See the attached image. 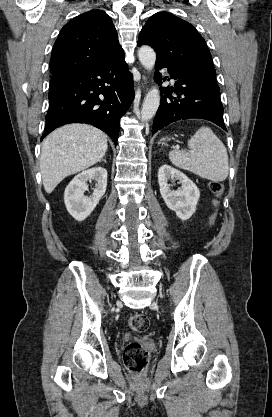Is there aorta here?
I'll return each instance as SVG.
<instances>
[{"instance_id": "1", "label": "aorta", "mask_w": 272, "mask_h": 417, "mask_svg": "<svg viewBox=\"0 0 272 417\" xmlns=\"http://www.w3.org/2000/svg\"><path fill=\"white\" fill-rule=\"evenodd\" d=\"M138 57L141 64L147 70H152L156 62V53L149 46H142L138 51ZM160 104V94L157 88L148 91L144 98L141 110L142 121H149L156 114Z\"/></svg>"}]
</instances>
